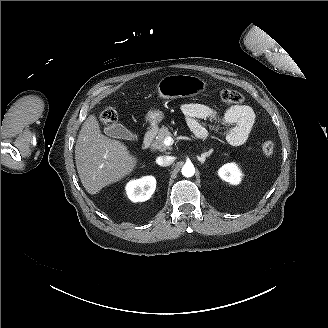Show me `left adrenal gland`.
<instances>
[{
  "instance_id": "1",
  "label": "left adrenal gland",
  "mask_w": 328,
  "mask_h": 328,
  "mask_svg": "<svg viewBox=\"0 0 328 328\" xmlns=\"http://www.w3.org/2000/svg\"><path fill=\"white\" fill-rule=\"evenodd\" d=\"M210 154H211L210 151L205 152V153H203L201 156H198V160H199L201 163H204L205 158H206V157H209Z\"/></svg>"
}]
</instances>
